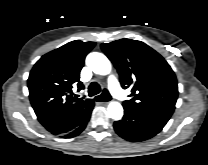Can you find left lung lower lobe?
I'll return each instance as SVG.
<instances>
[{"label": "left lung lower lobe", "instance_id": "1", "mask_svg": "<svg viewBox=\"0 0 208 165\" xmlns=\"http://www.w3.org/2000/svg\"><path fill=\"white\" fill-rule=\"evenodd\" d=\"M123 107L125 114L122 120L114 123V129L119 136L131 142H140L155 136L170 119V116L165 114Z\"/></svg>", "mask_w": 208, "mask_h": 165}]
</instances>
